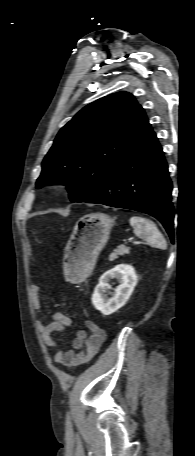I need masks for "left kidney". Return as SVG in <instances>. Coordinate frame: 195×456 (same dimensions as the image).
Segmentation results:
<instances>
[{"label":"left kidney","instance_id":"left-kidney-1","mask_svg":"<svg viewBox=\"0 0 195 456\" xmlns=\"http://www.w3.org/2000/svg\"><path fill=\"white\" fill-rule=\"evenodd\" d=\"M112 278H116L119 285L113 293L110 292L112 297L108 298L107 292L111 289L109 282ZM136 285L135 269L126 264L117 265L100 277L92 295V304L103 315H110L126 304Z\"/></svg>","mask_w":195,"mask_h":456}]
</instances>
